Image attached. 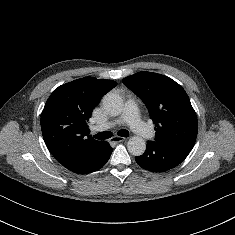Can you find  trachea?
I'll use <instances>...</instances> for the list:
<instances>
[{"label":"trachea","mask_w":235,"mask_h":235,"mask_svg":"<svg viewBox=\"0 0 235 235\" xmlns=\"http://www.w3.org/2000/svg\"><path fill=\"white\" fill-rule=\"evenodd\" d=\"M118 135L122 136V137H128L129 132L125 129H121L120 131H118ZM94 137L98 140H105V139L112 137V133L108 132V131L100 132V133L94 135Z\"/></svg>","instance_id":"trachea-1"}]
</instances>
